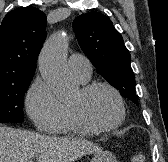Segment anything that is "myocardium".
I'll list each match as a JSON object with an SVG mask.
<instances>
[{
	"mask_svg": "<svg viewBox=\"0 0 168 162\" xmlns=\"http://www.w3.org/2000/svg\"><path fill=\"white\" fill-rule=\"evenodd\" d=\"M100 88L108 90L115 97L116 102L118 104V108H119V114H118V117L116 118V120L114 122H112L111 124L96 125V124L92 123L83 114L81 108L78 105L71 104L70 105L71 111L73 113V116H74L76 122L78 123L79 126L84 128L88 132L97 133V132L113 131V130L119 128L123 124V122L126 118V107H125L124 99H123L122 95L120 94V92L111 84L106 83V82H92V83L84 84L82 86V88L80 89V92H81L82 96H87L91 92H93L97 89H100Z\"/></svg>",
	"mask_w": 168,
	"mask_h": 162,
	"instance_id": "1",
	"label": "myocardium"
}]
</instances>
